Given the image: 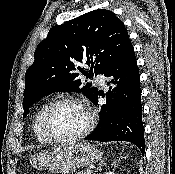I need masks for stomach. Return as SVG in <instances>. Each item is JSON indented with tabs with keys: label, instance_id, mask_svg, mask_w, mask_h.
Instances as JSON below:
<instances>
[{
	"label": "stomach",
	"instance_id": "obj_1",
	"mask_svg": "<svg viewBox=\"0 0 175 174\" xmlns=\"http://www.w3.org/2000/svg\"><path fill=\"white\" fill-rule=\"evenodd\" d=\"M102 152L89 143L66 144L34 155L33 165L54 173L68 174L100 160Z\"/></svg>",
	"mask_w": 175,
	"mask_h": 174
}]
</instances>
